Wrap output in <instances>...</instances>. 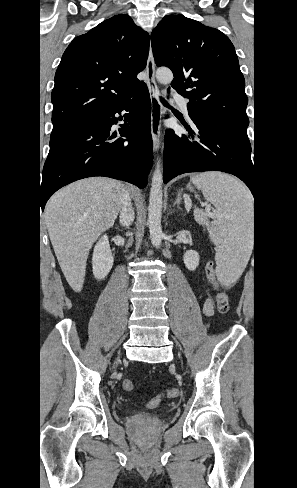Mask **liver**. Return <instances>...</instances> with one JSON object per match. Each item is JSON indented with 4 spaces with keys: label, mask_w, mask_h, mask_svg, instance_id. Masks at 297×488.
<instances>
[{
    "label": "liver",
    "mask_w": 297,
    "mask_h": 488,
    "mask_svg": "<svg viewBox=\"0 0 297 488\" xmlns=\"http://www.w3.org/2000/svg\"><path fill=\"white\" fill-rule=\"evenodd\" d=\"M126 188L123 183L92 177L56 192L45 208L49 237L71 288L81 291L94 242L115 222Z\"/></svg>",
    "instance_id": "obj_1"
}]
</instances>
